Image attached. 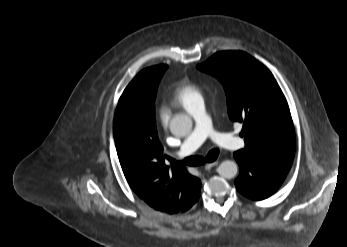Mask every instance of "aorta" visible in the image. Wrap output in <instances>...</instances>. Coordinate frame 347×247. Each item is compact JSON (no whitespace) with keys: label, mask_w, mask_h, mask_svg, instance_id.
I'll list each match as a JSON object with an SVG mask.
<instances>
[{"label":"aorta","mask_w":347,"mask_h":247,"mask_svg":"<svg viewBox=\"0 0 347 247\" xmlns=\"http://www.w3.org/2000/svg\"><path fill=\"white\" fill-rule=\"evenodd\" d=\"M192 129V119L186 114H178L174 116L170 122V131L173 135L184 137L190 133ZM238 166L236 162L231 160L223 161L218 167V173L221 177L232 179L236 176Z\"/></svg>","instance_id":"obj_1"}]
</instances>
